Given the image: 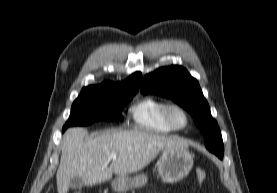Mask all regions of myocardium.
Segmentation results:
<instances>
[{"instance_id":"myocardium-1","label":"myocardium","mask_w":277,"mask_h":193,"mask_svg":"<svg viewBox=\"0 0 277 193\" xmlns=\"http://www.w3.org/2000/svg\"><path fill=\"white\" fill-rule=\"evenodd\" d=\"M180 111L185 117V124L183 126H178L173 119V112ZM165 119L167 124L174 130V131H183L188 128L191 122V117L189 112L180 104L171 103L168 104L166 111H165Z\"/></svg>"}]
</instances>
